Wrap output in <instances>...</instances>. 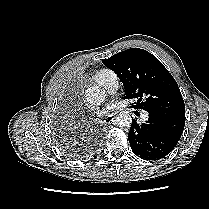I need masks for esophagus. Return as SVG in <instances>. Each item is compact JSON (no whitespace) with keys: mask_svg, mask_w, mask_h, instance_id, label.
<instances>
[{"mask_svg":"<svg viewBox=\"0 0 209 209\" xmlns=\"http://www.w3.org/2000/svg\"><path fill=\"white\" fill-rule=\"evenodd\" d=\"M105 123H112L114 122V117H110L107 120L104 121Z\"/></svg>","mask_w":209,"mask_h":209,"instance_id":"1","label":"esophagus"}]
</instances>
